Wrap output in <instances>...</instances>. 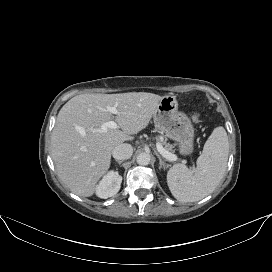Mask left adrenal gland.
<instances>
[{
    "mask_svg": "<svg viewBox=\"0 0 272 272\" xmlns=\"http://www.w3.org/2000/svg\"><path fill=\"white\" fill-rule=\"evenodd\" d=\"M156 156L159 159V164H160L159 169H161V168L165 169L167 167L166 163L163 161V159L161 158V156L157 152H156Z\"/></svg>",
    "mask_w": 272,
    "mask_h": 272,
    "instance_id": "1",
    "label": "left adrenal gland"
}]
</instances>
